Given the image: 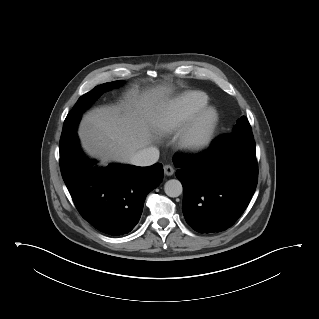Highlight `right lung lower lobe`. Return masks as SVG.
<instances>
[{
    "mask_svg": "<svg viewBox=\"0 0 319 319\" xmlns=\"http://www.w3.org/2000/svg\"><path fill=\"white\" fill-rule=\"evenodd\" d=\"M86 158L77 134L60 147V167L64 182L80 214L101 232L119 236L138 223L144 201L163 178V166H95Z\"/></svg>",
    "mask_w": 319,
    "mask_h": 319,
    "instance_id": "98d812e1",
    "label": "right lung lower lobe"
}]
</instances>
